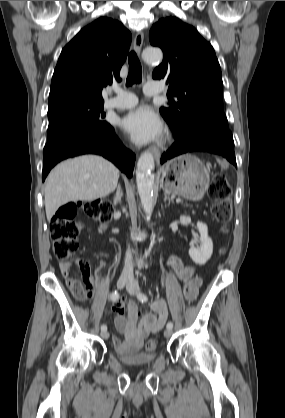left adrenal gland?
I'll return each mask as SVG.
<instances>
[{
	"mask_svg": "<svg viewBox=\"0 0 285 418\" xmlns=\"http://www.w3.org/2000/svg\"><path fill=\"white\" fill-rule=\"evenodd\" d=\"M167 200H168L169 202L174 203V199H173V198H170V197L167 195V193H165V194H164V202H166Z\"/></svg>",
	"mask_w": 285,
	"mask_h": 418,
	"instance_id": "left-adrenal-gland-1",
	"label": "left adrenal gland"
}]
</instances>
